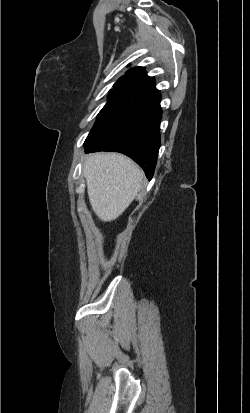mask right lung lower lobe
I'll use <instances>...</instances> for the list:
<instances>
[{"mask_svg":"<svg viewBox=\"0 0 250 413\" xmlns=\"http://www.w3.org/2000/svg\"><path fill=\"white\" fill-rule=\"evenodd\" d=\"M160 93L133 99L117 122L85 152L116 151L132 158L151 180L160 147Z\"/></svg>","mask_w":250,"mask_h":413,"instance_id":"right-lung-lower-lobe-1","label":"right lung lower lobe"}]
</instances>
